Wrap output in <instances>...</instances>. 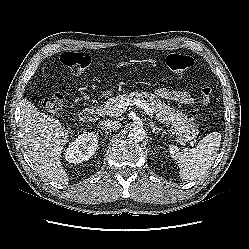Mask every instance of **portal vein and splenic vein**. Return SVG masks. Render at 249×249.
Returning <instances> with one entry per match:
<instances>
[{"instance_id":"obj_1","label":"portal vein and splenic vein","mask_w":249,"mask_h":249,"mask_svg":"<svg viewBox=\"0 0 249 249\" xmlns=\"http://www.w3.org/2000/svg\"><path fill=\"white\" fill-rule=\"evenodd\" d=\"M129 105H136L140 108H142L146 114H148L149 116H153V111L150 108V106L144 101V100H139V99H127L126 101H122L118 104H116L113 108V112L114 114L112 116H120L122 113H124L125 109L127 106ZM191 145L193 146L194 144L191 143Z\"/></svg>"}]
</instances>
